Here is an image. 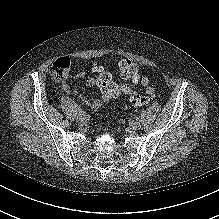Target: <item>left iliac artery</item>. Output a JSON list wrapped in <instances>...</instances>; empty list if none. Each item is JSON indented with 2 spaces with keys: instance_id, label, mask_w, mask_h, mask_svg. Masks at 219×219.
Masks as SVG:
<instances>
[{
  "instance_id": "1",
  "label": "left iliac artery",
  "mask_w": 219,
  "mask_h": 219,
  "mask_svg": "<svg viewBox=\"0 0 219 219\" xmlns=\"http://www.w3.org/2000/svg\"><path fill=\"white\" fill-rule=\"evenodd\" d=\"M136 120H137V121H140V120H141V118H140V117H136Z\"/></svg>"
}]
</instances>
